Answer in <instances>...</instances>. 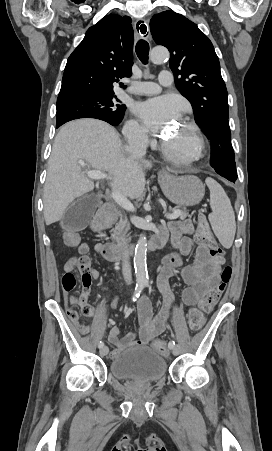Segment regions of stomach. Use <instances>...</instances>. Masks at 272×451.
Returning a JSON list of instances; mask_svg holds the SVG:
<instances>
[{
	"label": "stomach",
	"instance_id": "stomach-1",
	"mask_svg": "<svg viewBox=\"0 0 272 451\" xmlns=\"http://www.w3.org/2000/svg\"><path fill=\"white\" fill-rule=\"evenodd\" d=\"M158 182L166 198L178 206H196L205 194V188L196 176L159 174Z\"/></svg>",
	"mask_w": 272,
	"mask_h": 451
}]
</instances>
